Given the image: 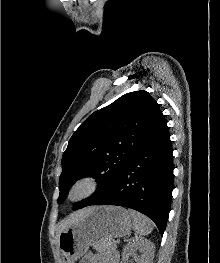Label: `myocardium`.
<instances>
[{
    "instance_id": "1",
    "label": "myocardium",
    "mask_w": 220,
    "mask_h": 263,
    "mask_svg": "<svg viewBox=\"0 0 220 263\" xmlns=\"http://www.w3.org/2000/svg\"><path fill=\"white\" fill-rule=\"evenodd\" d=\"M102 187V179L94 174H85L75 179L70 185L67 198L70 202H81L94 194Z\"/></svg>"
}]
</instances>
